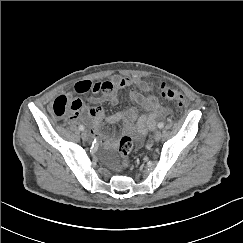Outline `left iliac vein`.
<instances>
[{
    "label": "left iliac vein",
    "instance_id": "left-iliac-vein-1",
    "mask_svg": "<svg viewBox=\"0 0 243 243\" xmlns=\"http://www.w3.org/2000/svg\"><path fill=\"white\" fill-rule=\"evenodd\" d=\"M160 139H161V132L156 131V132L154 133V135H153V140H154L155 142H157V141H159Z\"/></svg>",
    "mask_w": 243,
    "mask_h": 243
}]
</instances>
